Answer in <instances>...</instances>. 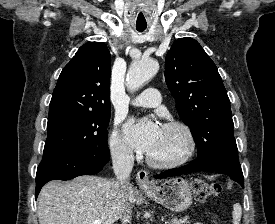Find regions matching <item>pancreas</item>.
I'll list each match as a JSON object with an SVG mask.
<instances>
[{
    "mask_svg": "<svg viewBox=\"0 0 275 224\" xmlns=\"http://www.w3.org/2000/svg\"><path fill=\"white\" fill-rule=\"evenodd\" d=\"M167 224H190L189 222V217H175V218H171L167 221Z\"/></svg>",
    "mask_w": 275,
    "mask_h": 224,
    "instance_id": "cf45deb5",
    "label": "pancreas"
}]
</instances>
